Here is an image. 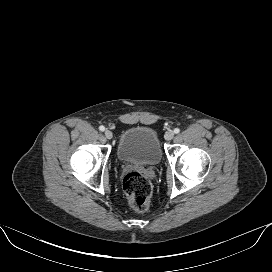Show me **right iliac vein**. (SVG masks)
<instances>
[{
  "label": "right iliac vein",
  "instance_id": "63e3f726",
  "mask_svg": "<svg viewBox=\"0 0 272 272\" xmlns=\"http://www.w3.org/2000/svg\"><path fill=\"white\" fill-rule=\"evenodd\" d=\"M105 137H106L107 139H112L113 133H112L110 130H106V131H105Z\"/></svg>",
  "mask_w": 272,
  "mask_h": 272
}]
</instances>
